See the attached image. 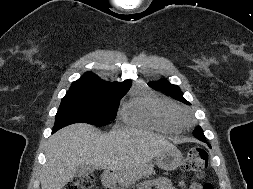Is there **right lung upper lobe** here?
Returning a JSON list of instances; mask_svg holds the SVG:
<instances>
[{
	"mask_svg": "<svg viewBox=\"0 0 253 189\" xmlns=\"http://www.w3.org/2000/svg\"><path fill=\"white\" fill-rule=\"evenodd\" d=\"M131 85L130 80L110 83L99 79L91 72H87L79 80L72 83L69 91L129 90Z\"/></svg>",
	"mask_w": 253,
	"mask_h": 189,
	"instance_id": "1",
	"label": "right lung upper lobe"
}]
</instances>
